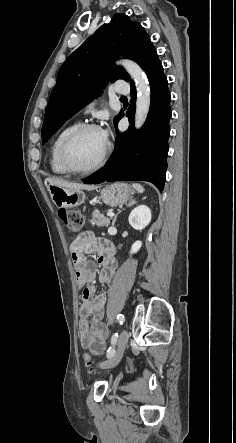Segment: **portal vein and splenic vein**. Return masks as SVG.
Returning <instances> with one entry per match:
<instances>
[{
  "mask_svg": "<svg viewBox=\"0 0 236 443\" xmlns=\"http://www.w3.org/2000/svg\"><path fill=\"white\" fill-rule=\"evenodd\" d=\"M115 214L113 213V212H108L107 213V216H109V217H113Z\"/></svg>",
  "mask_w": 236,
  "mask_h": 443,
  "instance_id": "18ae733b",
  "label": "portal vein and splenic vein"
}]
</instances>
